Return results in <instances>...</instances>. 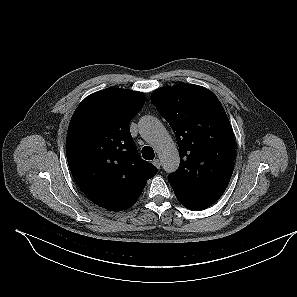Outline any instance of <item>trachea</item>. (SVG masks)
I'll use <instances>...</instances> for the list:
<instances>
[{"label":"trachea","instance_id":"3493384b","mask_svg":"<svg viewBox=\"0 0 297 297\" xmlns=\"http://www.w3.org/2000/svg\"><path fill=\"white\" fill-rule=\"evenodd\" d=\"M142 156L146 160H153L155 157L154 150L150 146H144L142 149Z\"/></svg>","mask_w":297,"mask_h":297}]
</instances>
